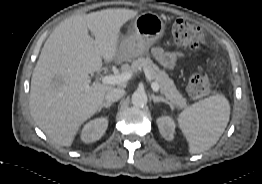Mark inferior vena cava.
<instances>
[{
  "instance_id": "obj_1",
  "label": "inferior vena cava",
  "mask_w": 262,
  "mask_h": 184,
  "mask_svg": "<svg viewBox=\"0 0 262 184\" xmlns=\"http://www.w3.org/2000/svg\"><path fill=\"white\" fill-rule=\"evenodd\" d=\"M124 93L125 91L122 88H112L106 93L105 99L107 102H115L118 101Z\"/></svg>"
}]
</instances>
